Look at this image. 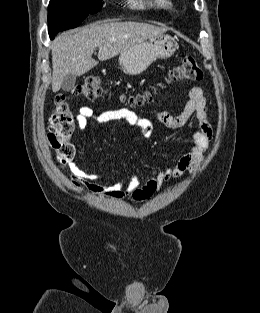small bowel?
<instances>
[{
  "mask_svg": "<svg viewBox=\"0 0 260 313\" xmlns=\"http://www.w3.org/2000/svg\"><path fill=\"white\" fill-rule=\"evenodd\" d=\"M155 113L157 119L170 129L185 127L192 118H195L197 122V126L191 131L188 150L177 159L173 166L154 172L143 185H140V180L136 175L128 180L121 179L112 184L102 185L97 182L103 177L102 174L86 172L76 161H73L69 165L71 184L79 191L87 190L98 196L115 200L130 198L140 202L153 196L165 183L178 179L187 172L196 171L205 159V153L213 135L202 88L195 86L190 90L188 101L179 114L173 115L165 110H156ZM91 118L98 123L124 121L136 128L144 137L151 134L150 121L141 113L129 109L96 112L89 106H83L76 117L78 128L86 129L88 120Z\"/></svg>",
  "mask_w": 260,
  "mask_h": 313,
  "instance_id": "1",
  "label": "small bowel"
}]
</instances>
